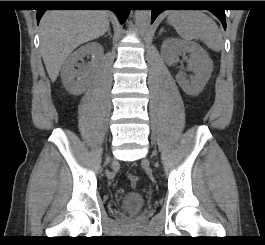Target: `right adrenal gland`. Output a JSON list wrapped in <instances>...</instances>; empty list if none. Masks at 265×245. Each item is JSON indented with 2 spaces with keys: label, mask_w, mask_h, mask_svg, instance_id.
I'll return each instance as SVG.
<instances>
[{
  "label": "right adrenal gland",
  "mask_w": 265,
  "mask_h": 245,
  "mask_svg": "<svg viewBox=\"0 0 265 245\" xmlns=\"http://www.w3.org/2000/svg\"><path fill=\"white\" fill-rule=\"evenodd\" d=\"M106 36H110V38L112 37V35H111V31H110V28H108V32H107V35H105V37Z\"/></svg>",
  "instance_id": "right-adrenal-gland-1"
}]
</instances>
